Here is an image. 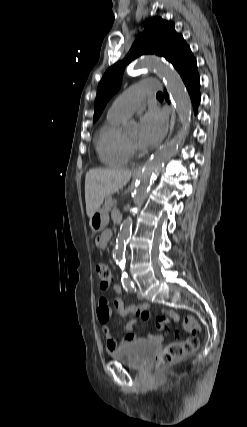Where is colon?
<instances>
[{
    "instance_id": "obj_1",
    "label": "colon",
    "mask_w": 247,
    "mask_h": 427,
    "mask_svg": "<svg viewBox=\"0 0 247 427\" xmlns=\"http://www.w3.org/2000/svg\"><path fill=\"white\" fill-rule=\"evenodd\" d=\"M96 272L100 280L101 288L104 290L108 289L112 282V275L109 266L104 262H99L96 265ZM183 327L185 331H187L193 337L187 339L186 341L175 342L166 346L159 357V365L164 366L170 364L176 360L190 355L198 349L199 340L195 338V335L200 331V327L197 321L193 317L188 316L184 320Z\"/></svg>"
}]
</instances>
